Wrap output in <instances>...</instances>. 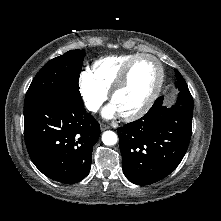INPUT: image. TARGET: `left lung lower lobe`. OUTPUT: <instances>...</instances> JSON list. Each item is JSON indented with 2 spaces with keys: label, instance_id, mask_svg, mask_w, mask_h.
Listing matches in <instances>:
<instances>
[{
  "label": "left lung lower lobe",
  "instance_id": "left-lung-lower-lobe-1",
  "mask_svg": "<svg viewBox=\"0 0 221 221\" xmlns=\"http://www.w3.org/2000/svg\"><path fill=\"white\" fill-rule=\"evenodd\" d=\"M176 87L180 92L171 108L159 97L144 117L117 129L123 172L134 184L150 185L165 178L187 151L193 100L188 87Z\"/></svg>",
  "mask_w": 221,
  "mask_h": 221
}]
</instances>
